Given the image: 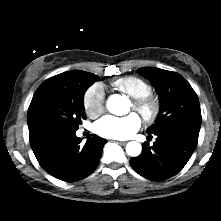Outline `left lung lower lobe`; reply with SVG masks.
Wrapping results in <instances>:
<instances>
[{
    "label": "left lung lower lobe",
    "mask_w": 221,
    "mask_h": 221,
    "mask_svg": "<svg viewBox=\"0 0 221 221\" xmlns=\"http://www.w3.org/2000/svg\"><path fill=\"white\" fill-rule=\"evenodd\" d=\"M200 128L175 123L156 132L153 146L143 144L142 153L130 159L133 169L144 178L159 181L178 173L192 156L198 142Z\"/></svg>",
    "instance_id": "0a47b994"
}]
</instances>
